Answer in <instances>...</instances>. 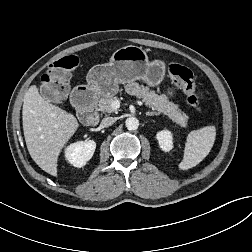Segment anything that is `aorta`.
Segmentation results:
<instances>
[{
    "label": "aorta",
    "mask_w": 252,
    "mask_h": 252,
    "mask_svg": "<svg viewBox=\"0 0 252 252\" xmlns=\"http://www.w3.org/2000/svg\"><path fill=\"white\" fill-rule=\"evenodd\" d=\"M128 130H136L139 127V120L135 117H129L125 121Z\"/></svg>",
    "instance_id": "1"
}]
</instances>
